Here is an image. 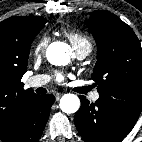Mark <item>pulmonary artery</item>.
Instances as JSON below:
<instances>
[{
	"mask_svg": "<svg viewBox=\"0 0 142 142\" xmlns=\"http://www.w3.org/2000/svg\"><path fill=\"white\" fill-rule=\"evenodd\" d=\"M77 55L79 58H84L86 55H88V52H85V51L78 52ZM48 81H49V76L47 75H35L30 77L27 80L26 85L27 87H30V88H37V87L44 86L45 84L48 83ZM91 98L92 100L96 101L99 98V93L94 92Z\"/></svg>",
	"mask_w": 142,
	"mask_h": 142,
	"instance_id": "pulmonary-artery-1",
	"label": "pulmonary artery"
}]
</instances>
